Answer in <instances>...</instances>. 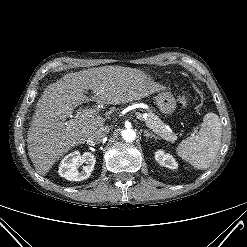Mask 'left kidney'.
<instances>
[{"label":"left kidney","mask_w":247,"mask_h":247,"mask_svg":"<svg viewBox=\"0 0 247 247\" xmlns=\"http://www.w3.org/2000/svg\"><path fill=\"white\" fill-rule=\"evenodd\" d=\"M155 160L162 166L169 169H177L178 164L170 154H165L164 151L158 150L155 153Z\"/></svg>","instance_id":"left-kidney-1"}]
</instances>
